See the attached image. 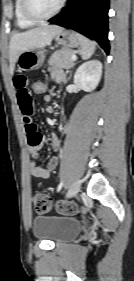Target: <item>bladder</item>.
Returning a JSON list of instances; mask_svg holds the SVG:
<instances>
[{"instance_id":"31cf9c89","label":"bladder","mask_w":134,"mask_h":281,"mask_svg":"<svg viewBox=\"0 0 134 281\" xmlns=\"http://www.w3.org/2000/svg\"><path fill=\"white\" fill-rule=\"evenodd\" d=\"M81 227L78 219L45 214L34 218L32 232L38 239L62 243L75 238Z\"/></svg>"}]
</instances>
